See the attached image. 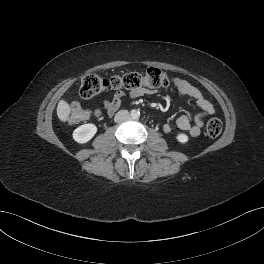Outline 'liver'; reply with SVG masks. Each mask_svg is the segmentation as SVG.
<instances>
[{"label": "liver", "mask_w": 264, "mask_h": 264, "mask_svg": "<svg viewBox=\"0 0 264 264\" xmlns=\"http://www.w3.org/2000/svg\"><path fill=\"white\" fill-rule=\"evenodd\" d=\"M71 107L65 100H60L57 106V116L62 122L69 119Z\"/></svg>", "instance_id": "6515ba94"}]
</instances>
